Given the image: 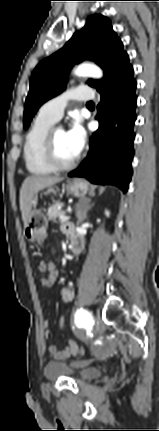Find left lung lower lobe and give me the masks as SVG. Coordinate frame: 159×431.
Returning <instances> with one entry per match:
<instances>
[{
	"label": "left lung lower lobe",
	"mask_w": 159,
	"mask_h": 431,
	"mask_svg": "<svg viewBox=\"0 0 159 431\" xmlns=\"http://www.w3.org/2000/svg\"><path fill=\"white\" fill-rule=\"evenodd\" d=\"M136 81L132 65L121 69L99 93V129L90 139V151L69 177H84L95 184H112L124 193L132 176L133 126L136 120Z\"/></svg>",
	"instance_id": "0a47b994"
}]
</instances>
